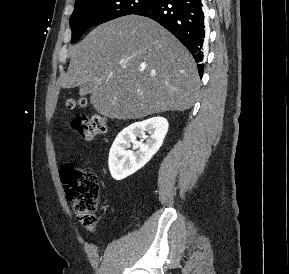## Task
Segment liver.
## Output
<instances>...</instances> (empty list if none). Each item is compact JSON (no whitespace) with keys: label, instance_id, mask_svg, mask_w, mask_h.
Wrapping results in <instances>:
<instances>
[{"label":"liver","instance_id":"liver-1","mask_svg":"<svg viewBox=\"0 0 289 274\" xmlns=\"http://www.w3.org/2000/svg\"><path fill=\"white\" fill-rule=\"evenodd\" d=\"M62 88L92 84L90 103L102 116L130 120L190 109L200 78L189 51L146 17L101 24L70 49Z\"/></svg>","mask_w":289,"mask_h":274}]
</instances>
